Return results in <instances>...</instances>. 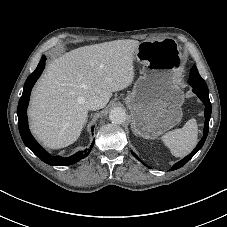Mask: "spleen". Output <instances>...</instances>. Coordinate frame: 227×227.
I'll return each mask as SVG.
<instances>
[{
    "label": "spleen",
    "mask_w": 227,
    "mask_h": 227,
    "mask_svg": "<svg viewBox=\"0 0 227 227\" xmlns=\"http://www.w3.org/2000/svg\"><path fill=\"white\" fill-rule=\"evenodd\" d=\"M198 126L195 118L189 119L180 129L167 132L161 137L175 157L189 154L197 144Z\"/></svg>",
    "instance_id": "spleen-1"
}]
</instances>
